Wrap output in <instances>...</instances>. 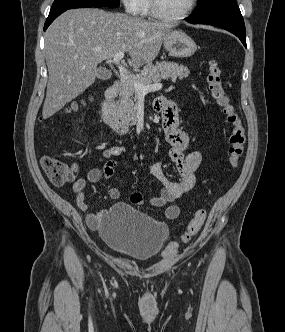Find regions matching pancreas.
Listing matches in <instances>:
<instances>
[{
  "mask_svg": "<svg viewBox=\"0 0 285 332\" xmlns=\"http://www.w3.org/2000/svg\"><path fill=\"white\" fill-rule=\"evenodd\" d=\"M190 70L183 65L174 62H158L154 64H147L139 74L132 75L134 81H138L144 85H149L152 82H160L161 79L176 80L188 77ZM138 101V93L134 88L131 77H125L121 80L120 99L117 107L122 114L124 120L129 125H135L136 117V102Z\"/></svg>",
  "mask_w": 285,
  "mask_h": 332,
  "instance_id": "obj_1",
  "label": "pancreas"
}]
</instances>
